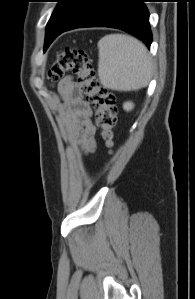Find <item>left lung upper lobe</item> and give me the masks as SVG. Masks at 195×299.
<instances>
[{"label":"left lung upper lobe","instance_id":"1","mask_svg":"<svg viewBox=\"0 0 195 299\" xmlns=\"http://www.w3.org/2000/svg\"><path fill=\"white\" fill-rule=\"evenodd\" d=\"M88 0H57L55 8L46 27L45 47L52 33L59 28L68 26L81 12Z\"/></svg>","mask_w":195,"mask_h":299}]
</instances>
